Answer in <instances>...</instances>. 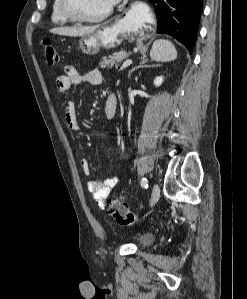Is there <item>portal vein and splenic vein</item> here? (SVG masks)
<instances>
[{"label":"portal vein and splenic vein","mask_w":247,"mask_h":299,"mask_svg":"<svg viewBox=\"0 0 247 299\" xmlns=\"http://www.w3.org/2000/svg\"><path fill=\"white\" fill-rule=\"evenodd\" d=\"M131 64H132V60L127 59V60L123 63V65H122V67L120 68V70H123L124 68H126L127 66H129V65H131Z\"/></svg>","instance_id":"obj_1"}]
</instances>
